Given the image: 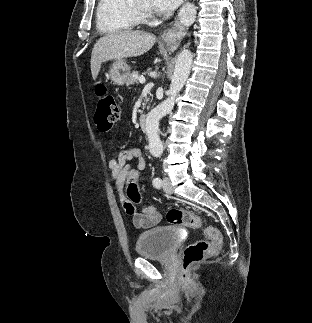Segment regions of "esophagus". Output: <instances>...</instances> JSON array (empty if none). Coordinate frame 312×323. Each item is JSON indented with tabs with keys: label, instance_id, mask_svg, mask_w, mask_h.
I'll return each instance as SVG.
<instances>
[{
	"label": "esophagus",
	"instance_id": "esophagus-1",
	"mask_svg": "<svg viewBox=\"0 0 312 323\" xmlns=\"http://www.w3.org/2000/svg\"><path fill=\"white\" fill-rule=\"evenodd\" d=\"M187 0H185L186 2ZM186 35L185 27L179 22L178 16L172 29L168 30L164 36V41L169 48L176 49L179 47L181 40Z\"/></svg>",
	"mask_w": 312,
	"mask_h": 323
}]
</instances>
